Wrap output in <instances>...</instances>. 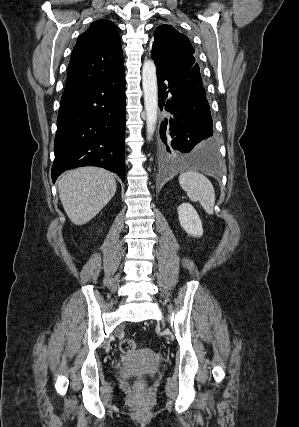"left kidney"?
<instances>
[{
	"mask_svg": "<svg viewBox=\"0 0 299 427\" xmlns=\"http://www.w3.org/2000/svg\"><path fill=\"white\" fill-rule=\"evenodd\" d=\"M178 217L180 225L186 233L194 237H201L203 235L201 220L191 204H181L178 207Z\"/></svg>",
	"mask_w": 299,
	"mask_h": 427,
	"instance_id": "left-kidney-1",
	"label": "left kidney"
}]
</instances>
